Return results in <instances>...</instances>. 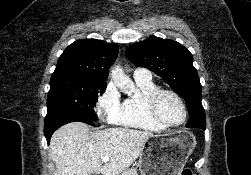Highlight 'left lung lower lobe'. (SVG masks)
<instances>
[{"label":"left lung lower lobe","mask_w":251,"mask_h":175,"mask_svg":"<svg viewBox=\"0 0 251 175\" xmlns=\"http://www.w3.org/2000/svg\"><path fill=\"white\" fill-rule=\"evenodd\" d=\"M189 120L187 124H198L205 119V112L203 108L188 107Z\"/></svg>","instance_id":"0a47b994"}]
</instances>
